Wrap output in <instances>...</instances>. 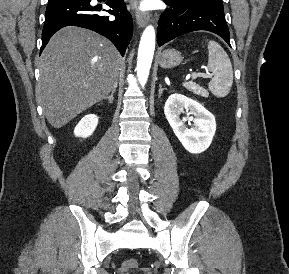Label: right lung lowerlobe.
Masks as SVG:
<instances>
[{
	"label": "right lung lower lobe",
	"mask_w": 289,
	"mask_h": 274,
	"mask_svg": "<svg viewBox=\"0 0 289 274\" xmlns=\"http://www.w3.org/2000/svg\"><path fill=\"white\" fill-rule=\"evenodd\" d=\"M92 0H53L46 8L45 24L42 31L41 51L51 36L62 27L74 25L91 29L107 37L122 56L133 33V22L123 0H103L112 10L93 5ZM101 1V0H98ZM108 12L115 19L99 13Z\"/></svg>",
	"instance_id": "right-lung-lower-lobe-1"
}]
</instances>
